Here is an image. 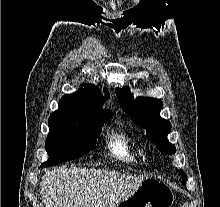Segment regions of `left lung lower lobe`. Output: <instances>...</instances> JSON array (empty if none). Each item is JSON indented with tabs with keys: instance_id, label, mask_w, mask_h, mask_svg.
I'll list each match as a JSON object with an SVG mask.
<instances>
[{
	"instance_id": "0a47b994",
	"label": "left lung lower lobe",
	"mask_w": 220,
	"mask_h": 207,
	"mask_svg": "<svg viewBox=\"0 0 220 207\" xmlns=\"http://www.w3.org/2000/svg\"><path fill=\"white\" fill-rule=\"evenodd\" d=\"M179 173L181 174V176H184L182 180H183V183H185V181H186V174L182 170H179Z\"/></svg>"
}]
</instances>
